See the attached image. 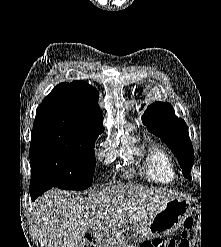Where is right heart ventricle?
<instances>
[{
  "instance_id": "obj_1",
  "label": "right heart ventricle",
  "mask_w": 221,
  "mask_h": 247,
  "mask_svg": "<svg viewBox=\"0 0 221 247\" xmlns=\"http://www.w3.org/2000/svg\"><path fill=\"white\" fill-rule=\"evenodd\" d=\"M142 173L154 182H172L175 178V170L171 156L160 145L150 143L147 146Z\"/></svg>"
}]
</instances>
